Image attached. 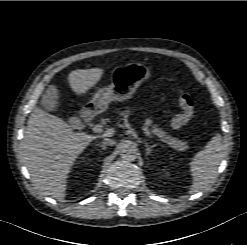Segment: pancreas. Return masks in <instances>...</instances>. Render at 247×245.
I'll return each mask as SVG.
<instances>
[{
    "label": "pancreas",
    "instance_id": "cf45deb5",
    "mask_svg": "<svg viewBox=\"0 0 247 245\" xmlns=\"http://www.w3.org/2000/svg\"><path fill=\"white\" fill-rule=\"evenodd\" d=\"M130 112L131 111L128 109L120 112L119 114L126 119ZM152 133L160 138L162 142L168 144L169 147L174 148L178 151H185L188 148V144L186 141L170 136L167 132L163 131L157 125H154L152 127Z\"/></svg>",
    "mask_w": 247,
    "mask_h": 245
}]
</instances>
